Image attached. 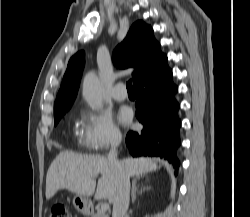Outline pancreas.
<instances>
[{
  "label": "pancreas",
  "instance_id": "pancreas-1",
  "mask_svg": "<svg viewBox=\"0 0 250 217\" xmlns=\"http://www.w3.org/2000/svg\"><path fill=\"white\" fill-rule=\"evenodd\" d=\"M92 217H109V216L108 214H106V212L99 209L95 214L92 215Z\"/></svg>",
  "mask_w": 250,
  "mask_h": 217
}]
</instances>
